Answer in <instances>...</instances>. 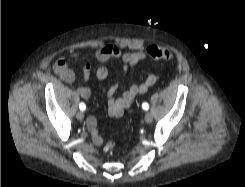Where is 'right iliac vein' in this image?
<instances>
[{"mask_svg":"<svg viewBox=\"0 0 245 187\" xmlns=\"http://www.w3.org/2000/svg\"><path fill=\"white\" fill-rule=\"evenodd\" d=\"M76 117H77L78 120L81 121V120H83V118H84V113H83L82 111H79V112L77 113Z\"/></svg>","mask_w":245,"mask_h":187,"instance_id":"1","label":"right iliac vein"}]
</instances>
